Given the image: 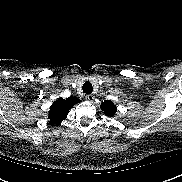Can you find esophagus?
Returning <instances> with one entry per match:
<instances>
[{"label": "esophagus", "instance_id": "34e87169", "mask_svg": "<svg viewBox=\"0 0 182 182\" xmlns=\"http://www.w3.org/2000/svg\"><path fill=\"white\" fill-rule=\"evenodd\" d=\"M85 98H86L87 101L92 102L94 100V95L88 94V95L85 96Z\"/></svg>", "mask_w": 182, "mask_h": 182}]
</instances>
